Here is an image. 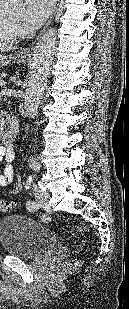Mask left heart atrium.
Listing matches in <instances>:
<instances>
[{"mask_svg":"<svg viewBox=\"0 0 129 309\" xmlns=\"http://www.w3.org/2000/svg\"><path fill=\"white\" fill-rule=\"evenodd\" d=\"M53 0H24L22 22L27 29H37L51 12Z\"/></svg>","mask_w":129,"mask_h":309,"instance_id":"1","label":"left heart atrium"}]
</instances>
